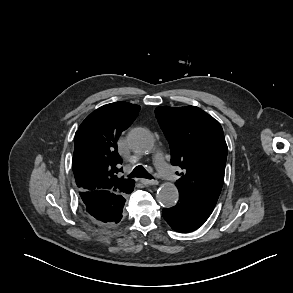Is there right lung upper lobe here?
I'll list each match as a JSON object with an SVG mask.
<instances>
[{
  "label": "right lung upper lobe",
  "instance_id": "1",
  "mask_svg": "<svg viewBox=\"0 0 293 293\" xmlns=\"http://www.w3.org/2000/svg\"><path fill=\"white\" fill-rule=\"evenodd\" d=\"M139 110L138 105L120 101L98 108L82 122L75 134L72 160L81 192L123 191L133 183L118 177L121 158L116 142Z\"/></svg>",
  "mask_w": 293,
  "mask_h": 293
}]
</instances>
